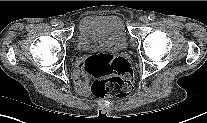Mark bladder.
Masks as SVG:
<instances>
[{
  "label": "bladder",
  "mask_w": 207,
  "mask_h": 123,
  "mask_svg": "<svg viewBox=\"0 0 207 123\" xmlns=\"http://www.w3.org/2000/svg\"><path fill=\"white\" fill-rule=\"evenodd\" d=\"M75 44L84 52L121 51L127 45L124 23L115 15L86 16L78 23Z\"/></svg>",
  "instance_id": "1"
}]
</instances>
